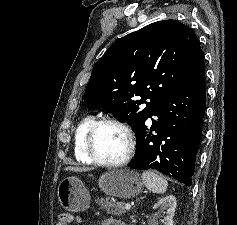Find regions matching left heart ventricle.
I'll return each mask as SVG.
<instances>
[{"label":"left heart ventricle","mask_w":237,"mask_h":225,"mask_svg":"<svg viewBox=\"0 0 237 225\" xmlns=\"http://www.w3.org/2000/svg\"><path fill=\"white\" fill-rule=\"evenodd\" d=\"M94 146L101 159L117 161L125 155L128 142L120 128L114 125H102L95 134Z\"/></svg>","instance_id":"1"}]
</instances>
